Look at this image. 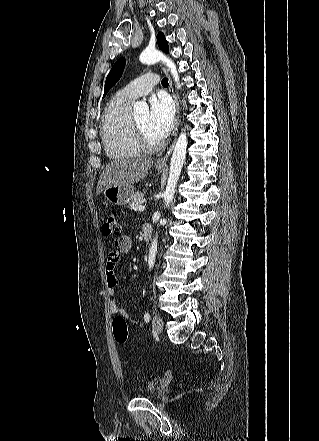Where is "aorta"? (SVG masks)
<instances>
[{"label":"aorta","instance_id":"1","mask_svg":"<svg viewBox=\"0 0 319 441\" xmlns=\"http://www.w3.org/2000/svg\"><path fill=\"white\" fill-rule=\"evenodd\" d=\"M139 60L141 63L143 64H155L157 62H162L163 64H165L171 75L174 78V81L177 84V88H180V83H179V75H178V71L176 68L175 63L168 58L165 54H163L160 51L157 50H150V49H145L139 57ZM148 110V105L146 104V102L144 101H139L136 102V104L134 105V112L137 114H143ZM187 136L186 133H181L179 135V138L176 142L173 154H172V158H171V162H170V172H169V178H168V182H167V186L165 189V192L163 194L164 197V204L165 206H169L170 202L172 201L175 191H176V186L181 174V170L185 161V156H186V149H187ZM166 221L164 219L160 220V225H163ZM157 246H158V234H156V236L154 237L150 249H149V256H148V266L149 269H152L155 263V258H156V254H157Z\"/></svg>","mask_w":319,"mask_h":441}]
</instances>
